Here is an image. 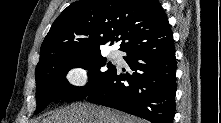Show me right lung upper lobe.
<instances>
[{"label":"right lung upper lobe","mask_w":221,"mask_h":123,"mask_svg":"<svg viewBox=\"0 0 221 123\" xmlns=\"http://www.w3.org/2000/svg\"><path fill=\"white\" fill-rule=\"evenodd\" d=\"M172 32L157 0H84L69 5L54 21L37 67L62 57L100 51L122 40L121 51L156 43Z\"/></svg>","instance_id":"1"}]
</instances>
